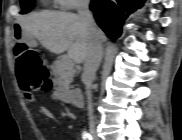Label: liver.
<instances>
[{"label":"liver","mask_w":182,"mask_h":140,"mask_svg":"<svg viewBox=\"0 0 182 140\" xmlns=\"http://www.w3.org/2000/svg\"><path fill=\"white\" fill-rule=\"evenodd\" d=\"M24 40L34 38L50 52L67 55L76 63H82L90 49L88 31L79 15L59 11L32 13L19 19ZM101 42L106 41L104 32L96 28Z\"/></svg>","instance_id":"liver-1"}]
</instances>
